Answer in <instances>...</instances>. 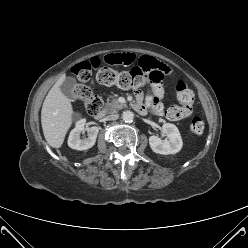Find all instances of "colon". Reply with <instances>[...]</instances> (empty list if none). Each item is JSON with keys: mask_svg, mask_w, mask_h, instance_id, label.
Here are the masks:
<instances>
[{"mask_svg": "<svg viewBox=\"0 0 248 248\" xmlns=\"http://www.w3.org/2000/svg\"><path fill=\"white\" fill-rule=\"evenodd\" d=\"M100 65L98 60L84 62L74 68V75L81 82L91 79L93 70ZM155 71L147 76L139 69L118 72L112 67H101L96 73L99 83L107 86L115 85L122 89H140L147 87L151 92H155L164 76L155 77ZM177 99L180 105H172L167 110V116L171 120H178L186 115L193 107L195 101L194 92L183 81H178L175 86ZM76 99L83 101L89 114L94 115L99 112L103 105L102 98L95 94L90 87L84 84L77 85L73 90ZM157 109H162V104L155 103ZM189 130L192 134L199 135L204 131V122L200 117H193L189 121Z\"/></svg>", "mask_w": 248, "mask_h": 248, "instance_id": "colon-1", "label": "colon"}]
</instances>
